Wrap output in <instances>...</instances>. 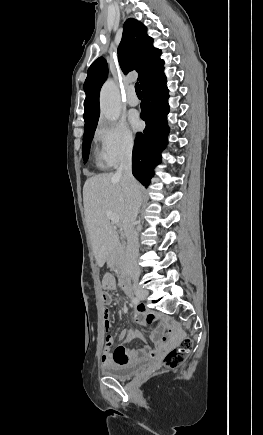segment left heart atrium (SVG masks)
Listing matches in <instances>:
<instances>
[{"label":"left heart atrium","instance_id":"left-heart-atrium-1","mask_svg":"<svg viewBox=\"0 0 263 435\" xmlns=\"http://www.w3.org/2000/svg\"><path fill=\"white\" fill-rule=\"evenodd\" d=\"M130 123L132 125V128L135 131L140 130L141 127H142V122H141V120L136 115L131 116Z\"/></svg>","mask_w":263,"mask_h":435}]
</instances>
